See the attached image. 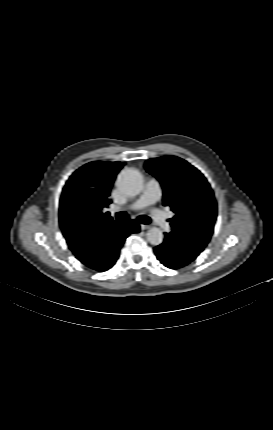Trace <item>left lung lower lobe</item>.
<instances>
[{
  "label": "left lung lower lobe",
  "instance_id": "left-lung-lower-lobe-1",
  "mask_svg": "<svg viewBox=\"0 0 273 430\" xmlns=\"http://www.w3.org/2000/svg\"><path fill=\"white\" fill-rule=\"evenodd\" d=\"M160 262L168 268L178 269L192 262L199 255L196 252L186 250L179 246L173 234L165 233L162 244L154 248Z\"/></svg>",
  "mask_w": 273,
  "mask_h": 430
}]
</instances>
